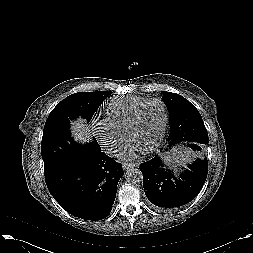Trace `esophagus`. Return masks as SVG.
<instances>
[{
    "mask_svg": "<svg viewBox=\"0 0 253 253\" xmlns=\"http://www.w3.org/2000/svg\"><path fill=\"white\" fill-rule=\"evenodd\" d=\"M133 167H135V164L134 163H123L122 164V168H123V170H125V171H127L128 169H131V168H133Z\"/></svg>",
    "mask_w": 253,
    "mask_h": 253,
    "instance_id": "34e87169",
    "label": "esophagus"
}]
</instances>
